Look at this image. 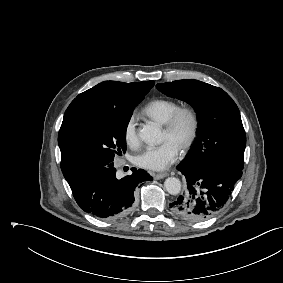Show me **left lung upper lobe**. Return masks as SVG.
Here are the masks:
<instances>
[{"mask_svg":"<svg viewBox=\"0 0 283 283\" xmlns=\"http://www.w3.org/2000/svg\"><path fill=\"white\" fill-rule=\"evenodd\" d=\"M159 91L189 103L198 117V137L180 163L193 170L210 165L243 169L246 135L239 109L221 88L198 80L159 83Z\"/></svg>","mask_w":283,"mask_h":283,"instance_id":"5c2ea615","label":"left lung upper lobe"}]
</instances>
